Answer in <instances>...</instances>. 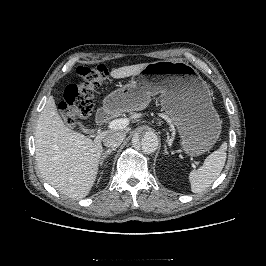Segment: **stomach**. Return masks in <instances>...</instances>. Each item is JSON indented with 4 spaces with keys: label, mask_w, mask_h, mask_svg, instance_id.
I'll list each match as a JSON object with an SVG mask.
<instances>
[{
    "label": "stomach",
    "mask_w": 266,
    "mask_h": 266,
    "mask_svg": "<svg viewBox=\"0 0 266 266\" xmlns=\"http://www.w3.org/2000/svg\"><path fill=\"white\" fill-rule=\"evenodd\" d=\"M157 94L162 110L177 127L183 151L195 157L211 149L220 135L221 120L208 85L187 62L148 63L129 84L110 93L103 107L108 111L142 110Z\"/></svg>",
    "instance_id": "obj_1"
}]
</instances>
